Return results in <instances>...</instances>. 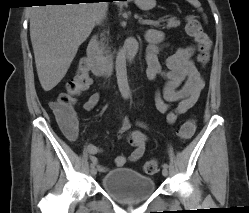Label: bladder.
I'll return each instance as SVG.
<instances>
[{
	"instance_id": "bladder-1",
	"label": "bladder",
	"mask_w": 249,
	"mask_h": 213,
	"mask_svg": "<svg viewBox=\"0 0 249 213\" xmlns=\"http://www.w3.org/2000/svg\"><path fill=\"white\" fill-rule=\"evenodd\" d=\"M101 188L120 203L135 204L151 196L156 186L147 175L134 169L119 168L102 177Z\"/></svg>"
}]
</instances>
